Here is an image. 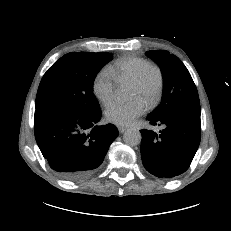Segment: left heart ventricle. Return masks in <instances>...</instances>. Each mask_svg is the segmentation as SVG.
Segmentation results:
<instances>
[{"label": "left heart ventricle", "mask_w": 231, "mask_h": 231, "mask_svg": "<svg viewBox=\"0 0 231 231\" xmlns=\"http://www.w3.org/2000/svg\"><path fill=\"white\" fill-rule=\"evenodd\" d=\"M157 85L158 75L155 71H151L148 74L142 88H135L131 86L130 96L133 99H140L146 104L155 93Z\"/></svg>", "instance_id": "obj_1"}]
</instances>
